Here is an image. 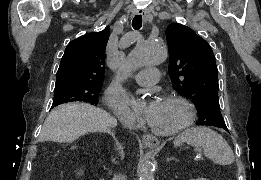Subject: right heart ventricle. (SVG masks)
Here are the masks:
<instances>
[{
    "instance_id": "1",
    "label": "right heart ventricle",
    "mask_w": 261,
    "mask_h": 180,
    "mask_svg": "<svg viewBox=\"0 0 261 180\" xmlns=\"http://www.w3.org/2000/svg\"><path fill=\"white\" fill-rule=\"evenodd\" d=\"M129 115H130V119H132V117H133V116H132V114H131V113H129Z\"/></svg>"
}]
</instances>
